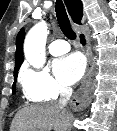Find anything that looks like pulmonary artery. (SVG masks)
Listing matches in <instances>:
<instances>
[{"instance_id": "e3ab8cb5", "label": "pulmonary artery", "mask_w": 117, "mask_h": 131, "mask_svg": "<svg viewBox=\"0 0 117 131\" xmlns=\"http://www.w3.org/2000/svg\"><path fill=\"white\" fill-rule=\"evenodd\" d=\"M70 50L69 44L62 39H57L51 42L49 46V52L54 56H60L67 53Z\"/></svg>"}]
</instances>
